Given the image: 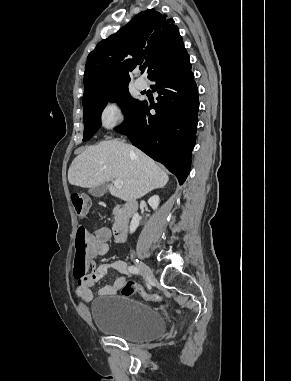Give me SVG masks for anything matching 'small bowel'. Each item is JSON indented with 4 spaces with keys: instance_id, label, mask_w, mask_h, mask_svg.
Instances as JSON below:
<instances>
[{
    "instance_id": "1",
    "label": "small bowel",
    "mask_w": 291,
    "mask_h": 381,
    "mask_svg": "<svg viewBox=\"0 0 291 381\" xmlns=\"http://www.w3.org/2000/svg\"><path fill=\"white\" fill-rule=\"evenodd\" d=\"M111 238V231L107 227L99 228L88 239L87 257L92 267L91 272L79 277L75 293L82 302H88L92 299L93 294L91 288L100 280H102L110 269L120 273L122 276L118 278L113 284L105 285L99 290V294L103 296L115 295L118 293L121 286L128 280L129 273L124 261L115 260L109 264H101L96 266L94 259L97 256H102L108 253L110 249L109 240Z\"/></svg>"
}]
</instances>
